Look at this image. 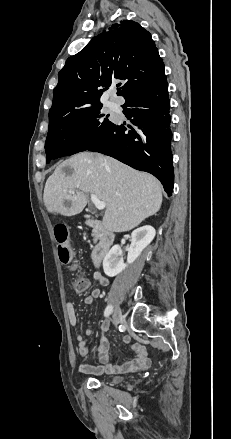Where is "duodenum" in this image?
I'll list each match as a JSON object with an SVG mask.
<instances>
[{"mask_svg": "<svg viewBox=\"0 0 231 439\" xmlns=\"http://www.w3.org/2000/svg\"><path fill=\"white\" fill-rule=\"evenodd\" d=\"M87 225L91 227L97 236V244L92 250L91 258L93 264L98 267L102 260L105 258L109 252L115 236L112 231H110L101 221L96 219L87 220Z\"/></svg>", "mask_w": 231, "mask_h": 439, "instance_id": "duodenum-1", "label": "duodenum"}]
</instances>
